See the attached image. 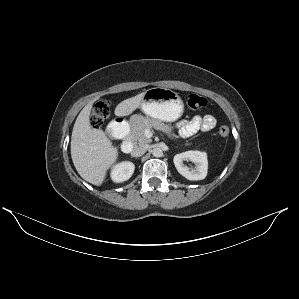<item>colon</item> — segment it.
<instances>
[{
	"instance_id": "colon-1",
	"label": "colon",
	"mask_w": 299,
	"mask_h": 299,
	"mask_svg": "<svg viewBox=\"0 0 299 299\" xmlns=\"http://www.w3.org/2000/svg\"><path fill=\"white\" fill-rule=\"evenodd\" d=\"M185 102L187 106L192 110H200L205 107L206 99L195 94L189 93L185 97ZM110 112V103L107 100H103L98 102L92 112L91 115V125L95 129H99L106 118L109 116ZM230 133V129L228 126H221L219 128V134L222 137H227Z\"/></svg>"
}]
</instances>
